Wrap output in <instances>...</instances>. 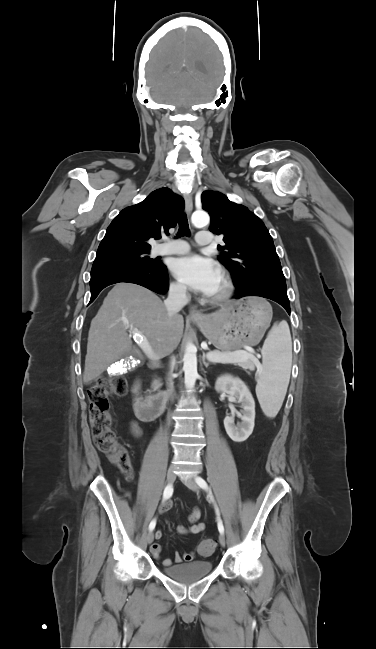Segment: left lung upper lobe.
<instances>
[{"mask_svg": "<svg viewBox=\"0 0 376 649\" xmlns=\"http://www.w3.org/2000/svg\"><path fill=\"white\" fill-rule=\"evenodd\" d=\"M201 201L211 216L209 230L224 235L225 245L218 246L222 251L218 259L234 273L239 289L253 284V280L287 289L272 237L262 220L220 192L204 191Z\"/></svg>", "mask_w": 376, "mask_h": 649, "instance_id": "1", "label": "left lung upper lobe"}]
</instances>
